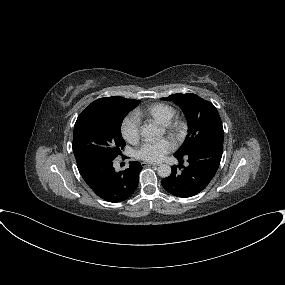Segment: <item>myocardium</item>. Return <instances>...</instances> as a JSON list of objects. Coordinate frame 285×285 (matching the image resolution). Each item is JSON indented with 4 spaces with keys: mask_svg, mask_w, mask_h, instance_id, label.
Here are the masks:
<instances>
[{
    "mask_svg": "<svg viewBox=\"0 0 285 285\" xmlns=\"http://www.w3.org/2000/svg\"><path fill=\"white\" fill-rule=\"evenodd\" d=\"M164 128L173 138H179L181 136L182 126L177 120H170L169 122L165 123Z\"/></svg>",
    "mask_w": 285,
    "mask_h": 285,
    "instance_id": "obj_1",
    "label": "myocardium"
}]
</instances>
